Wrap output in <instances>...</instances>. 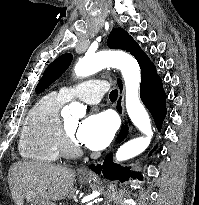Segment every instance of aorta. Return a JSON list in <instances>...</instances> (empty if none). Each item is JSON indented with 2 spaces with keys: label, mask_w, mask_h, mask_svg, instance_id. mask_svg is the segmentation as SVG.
<instances>
[{
  "label": "aorta",
  "mask_w": 199,
  "mask_h": 205,
  "mask_svg": "<svg viewBox=\"0 0 199 205\" xmlns=\"http://www.w3.org/2000/svg\"><path fill=\"white\" fill-rule=\"evenodd\" d=\"M120 69L125 82V100L127 113L133 124L145 137H138L123 144L116 152V160L124 161L133 158L149 146L153 136L149 115L140 101L139 88L141 72L138 62L131 55L122 51H101L95 54H85L75 65L77 77H86L106 68ZM67 110L72 115H83L84 107L73 102Z\"/></svg>",
  "instance_id": "aorta-1"
}]
</instances>
